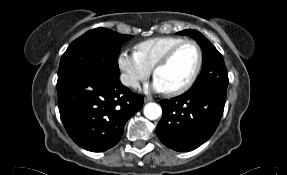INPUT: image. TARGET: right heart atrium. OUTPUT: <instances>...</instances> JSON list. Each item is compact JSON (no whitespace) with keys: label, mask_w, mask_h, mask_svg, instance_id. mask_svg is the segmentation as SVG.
<instances>
[{"label":"right heart atrium","mask_w":287,"mask_h":175,"mask_svg":"<svg viewBox=\"0 0 287 175\" xmlns=\"http://www.w3.org/2000/svg\"><path fill=\"white\" fill-rule=\"evenodd\" d=\"M118 67L121 70V81L125 86L136 88L152 72L136 52L123 50L118 56Z\"/></svg>","instance_id":"right-heart-atrium-1"}]
</instances>
